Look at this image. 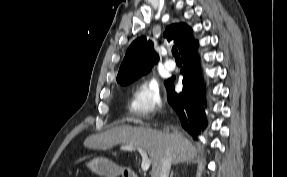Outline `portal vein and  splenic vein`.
Returning a JSON list of instances; mask_svg holds the SVG:
<instances>
[{
	"label": "portal vein and splenic vein",
	"instance_id": "18ae733b",
	"mask_svg": "<svg viewBox=\"0 0 287 177\" xmlns=\"http://www.w3.org/2000/svg\"><path fill=\"white\" fill-rule=\"evenodd\" d=\"M121 149L122 150H137L141 156H142V162H141V169L142 171H147L149 168H150V165H151V160L148 158L147 154H146V151L143 150L142 148H136V147H133V146H126V145H123L121 146Z\"/></svg>",
	"mask_w": 287,
	"mask_h": 177
}]
</instances>
